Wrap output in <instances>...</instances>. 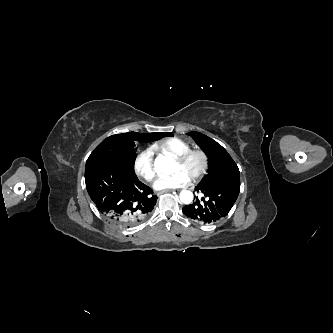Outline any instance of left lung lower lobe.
<instances>
[{"label":"left lung lower lobe","instance_id":"0a47b994","mask_svg":"<svg viewBox=\"0 0 333 333\" xmlns=\"http://www.w3.org/2000/svg\"><path fill=\"white\" fill-rule=\"evenodd\" d=\"M195 191L202 192L207 201L202 198L203 204L196 200L195 203L184 206L183 213L203 224L215 223L224 218L234 205L240 191V180H228L209 187L197 186Z\"/></svg>","mask_w":333,"mask_h":333}]
</instances>
